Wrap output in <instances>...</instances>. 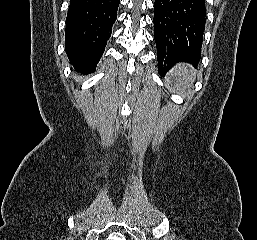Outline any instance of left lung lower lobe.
<instances>
[{"instance_id": "0a47b994", "label": "left lung lower lobe", "mask_w": 257, "mask_h": 240, "mask_svg": "<svg viewBox=\"0 0 257 240\" xmlns=\"http://www.w3.org/2000/svg\"><path fill=\"white\" fill-rule=\"evenodd\" d=\"M205 24V0H155L154 40L160 75L178 62L197 66Z\"/></svg>"}]
</instances>
